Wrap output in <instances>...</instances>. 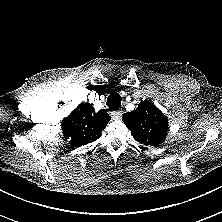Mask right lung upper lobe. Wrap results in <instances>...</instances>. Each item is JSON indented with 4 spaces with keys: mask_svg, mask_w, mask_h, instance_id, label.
<instances>
[{
    "mask_svg": "<svg viewBox=\"0 0 222 222\" xmlns=\"http://www.w3.org/2000/svg\"><path fill=\"white\" fill-rule=\"evenodd\" d=\"M110 119L104 110L95 112L92 104L81 103L61 122L64 138L72 147L86 145L101 136Z\"/></svg>",
    "mask_w": 222,
    "mask_h": 222,
    "instance_id": "1",
    "label": "right lung upper lobe"
}]
</instances>
